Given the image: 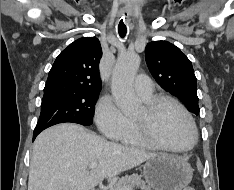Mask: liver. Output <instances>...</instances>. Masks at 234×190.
<instances>
[{"label":"liver","instance_id":"6515ba94","mask_svg":"<svg viewBox=\"0 0 234 190\" xmlns=\"http://www.w3.org/2000/svg\"><path fill=\"white\" fill-rule=\"evenodd\" d=\"M144 150L109 142L84 127L65 123L36 138L30 161L28 190H94L152 157ZM91 163H97L89 170Z\"/></svg>","mask_w":234,"mask_h":190}]
</instances>
